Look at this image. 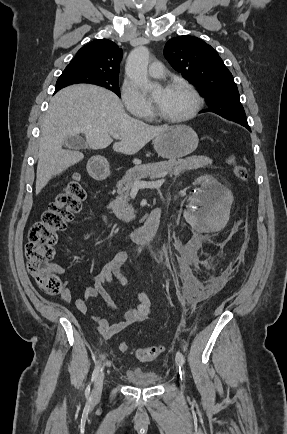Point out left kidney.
Wrapping results in <instances>:
<instances>
[{
	"instance_id": "obj_1",
	"label": "left kidney",
	"mask_w": 287,
	"mask_h": 434,
	"mask_svg": "<svg viewBox=\"0 0 287 434\" xmlns=\"http://www.w3.org/2000/svg\"><path fill=\"white\" fill-rule=\"evenodd\" d=\"M198 182L201 184V188L191 198V203L204 205V209L202 211H196L188 208L184 211L186 221L190 225L196 226L204 220V215H213L216 219L228 216L233 201L231 192L222 186L215 178L208 175L200 177Z\"/></svg>"
}]
</instances>
